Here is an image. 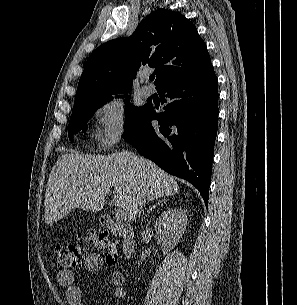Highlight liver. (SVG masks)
I'll return each instance as SVG.
<instances>
[{
    "label": "liver",
    "mask_w": 297,
    "mask_h": 305,
    "mask_svg": "<svg viewBox=\"0 0 297 305\" xmlns=\"http://www.w3.org/2000/svg\"><path fill=\"white\" fill-rule=\"evenodd\" d=\"M136 157L139 168L130 164L126 152L108 156L63 154L49 175L45 223L61 220L73 208L87 212L103 209L111 188H114L113 203L123 208L130 221L135 220L137 195L141 189L148 201L179 192L171 175L150 160Z\"/></svg>",
    "instance_id": "liver-1"
}]
</instances>
